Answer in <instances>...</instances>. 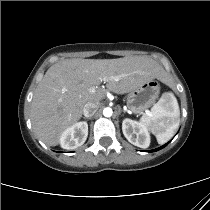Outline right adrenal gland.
I'll use <instances>...</instances> for the list:
<instances>
[{"label":"right adrenal gland","instance_id":"obj_1","mask_svg":"<svg viewBox=\"0 0 210 210\" xmlns=\"http://www.w3.org/2000/svg\"><path fill=\"white\" fill-rule=\"evenodd\" d=\"M85 119H89V120H91L92 118L91 117H84Z\"/></svg>","mask_w":210,"mask_h":210}]
</instances>
